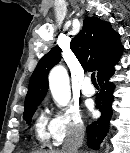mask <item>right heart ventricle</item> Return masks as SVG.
<instances>
[{
    "instance_id": "e07e8e85",
    "label": "right heart ventricle",
    "mask_w": 130,
    "mask_h": 153,
    "mask_svg": "<svg viewBox=\"0 0 130 153\" xmlns=\"http://www.w3.org/2000/svg\"><path fill=\"white\" fill-rule=\"evenodd\" d=\"M34 134L36 140L42 144L46 145L50 137L52 136V131H51V122L48 121V117L46 116L45 113H41L34 124Z\"/></svg>"
}]
</instances>
